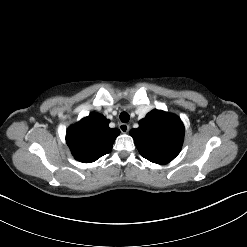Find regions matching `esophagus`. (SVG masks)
Masks as SVG:
<instances>
[{
  "instance_id": "obj_1",
  "label": "esophagus",
  "mask_w": 247,
  "mask_h": 247,
  "mask_svg": "<svg viewBox=\"0 0 247 247\" xmlns=\"http://www.w3.org/2000/svg\"><path fill=\"white\" fill-rule=\"evenodd\" d=\"M119 129L122 133H128L130 126L128 124L121 123L119 124Z\"/></svg>"
}]
</instances>
